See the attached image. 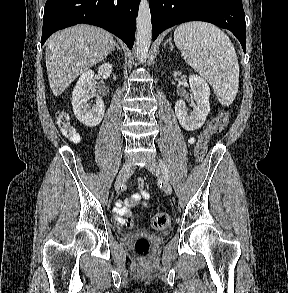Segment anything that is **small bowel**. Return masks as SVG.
Segmentation results:
<instances>
[{
    "label": "small bowel",
    "mask_w": 288,
    "mask_h": 293,
    "mask_svg": "<svg viewBox=\"0 0 288 293\" xmlns=\"http://www.w3.org/2000/svg\"><path fill=\"white\" fill-rule=\"evenodd\" d=\"M194 140H195L194 138H191L190 142L193 143ZM148 198H149V194L146 191H144L143 189L138 188V191L135 194H133V196L131 197L130 200L125 201V202L119 201L117 203L116 212L120 216H122L125 213H130L128 207L133 206L139 200L146 201V200H148ZM119 221L122 222L121 217L119 218Z\"/></svg>",
    "instance_id": "small-bowel-1"
}]
</instances>
